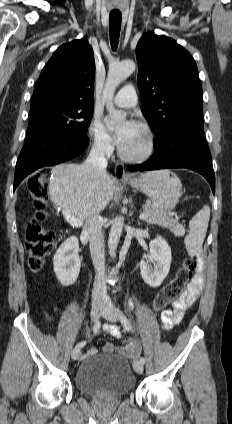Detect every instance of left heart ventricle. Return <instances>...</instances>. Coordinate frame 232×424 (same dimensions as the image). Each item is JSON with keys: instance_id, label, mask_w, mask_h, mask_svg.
Here are the masks:
<instances>
[{"instance_id": "b2bd125f", "label": "left heart ventricle", "mask_w": 232, "mask_h": 424, "mask_svg": "<svg viewBox=\"0 0 232 424\" xmlns=\"http://www.w3.org/2000/svg\"><path fill=\"white\" fill-rule=\"evenodd\" d=\"M146 140V134L137 126L126 144L121 148L128 154H138L146 148Z\"/></svg>"}]
</instances>
